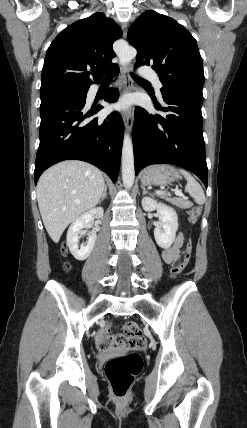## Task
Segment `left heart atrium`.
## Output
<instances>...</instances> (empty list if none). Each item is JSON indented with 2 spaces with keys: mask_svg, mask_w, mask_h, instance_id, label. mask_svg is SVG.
Listing matches in <instances>:
<instances>
[{
  "mask_svg": "<svg viewBox=\"0 0 247 428\" xmlns=\"http://www.w3.org/2000/svg\"><path fill=\"white\" fill-rule=\"evenodd\" d=\"M130 104L129 98H123L120 103L118 104L119 108H126Z\"/></svg>",
  "mask_w": 247,
  "mask_h": 428,
  "instance_id": "obj_1",
  "label": "left heart atrium"
}]
</instances>
